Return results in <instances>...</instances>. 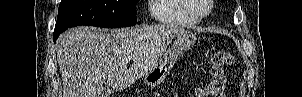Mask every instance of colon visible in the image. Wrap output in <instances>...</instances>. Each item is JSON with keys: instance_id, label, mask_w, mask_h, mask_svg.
<instances>
[{"instance_id": "1", "label": "colon", "mask_w": 302, "mask_h": 97, "mask_svg": "<svg viewBox=\"0 0 302 97\" xmlns=\"http://www.w3.org/2000/svg\"><path fill=\"white\" fill-rule=\"evenodd\" d=\"M234 62V57L230 52L219 51L212 57V66L210 68L211 80L209 83L199 88L198 97L215 96L220 92L226 82L223 72L225 66H230Z\"/></svg>"}]
</instances>
